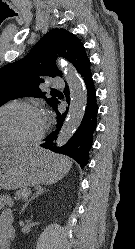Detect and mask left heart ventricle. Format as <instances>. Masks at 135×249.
<instances>
[{
  "instance_id": "obj_1",
  "label": "left heart ventricle",
  "mask_w": 135,
  "mask_h": 249,
  "mask_svg": "<svg viewBox=\"0 0 135 249\" xmlns=\"http://www.w3.org/2000/svg\"><path fill=\"white\" fill-rule=\"evenodd\" d=\"M42 128V116L29 108L12 106L0 112V139L29 140Z\"/></svg>"
}]
</instances>
